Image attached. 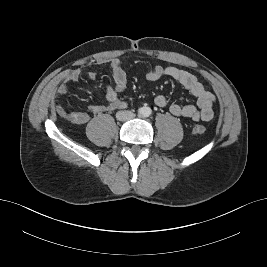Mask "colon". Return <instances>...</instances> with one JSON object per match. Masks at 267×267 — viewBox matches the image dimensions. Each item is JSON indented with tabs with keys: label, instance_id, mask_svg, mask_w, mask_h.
Masks as SVG:
<instances>
[{
	"label": "colon",
	"instance_id": "colon-1",
	"mask_svg": "<svg viewBox=\"0 0 267 267\" xmlns=\"http://www.w3.org/2000/svg\"><path fill=\"white\" fill-rule=\"evenodd\" d=\"M206 131L205 127L202 126V125H196L194 128H193V132L195 134H203L204 132Z\"/></svg>",
	"mask_w": 267,
	"mask_h": 267
}]
</instances>
